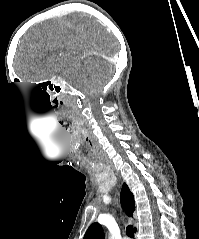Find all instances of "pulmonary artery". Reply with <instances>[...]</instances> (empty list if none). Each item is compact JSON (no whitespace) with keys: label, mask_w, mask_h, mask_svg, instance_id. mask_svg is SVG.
Listing matches in <instances>:
<instances>
[{"label":"pulmonary artery","mask_w":199,"mask_h":239,"mask_svg":"<svg viewBox=\"0 0 199 239\" xmlns=\"http://www.w3.org/2000/svg\"><path fill=\"white\" fill-rule=\"evenodd\" d=\"M122 239H128V237H124V238H122Z\"/></svg>","instance_id":"obj_1"}]
</instances>
